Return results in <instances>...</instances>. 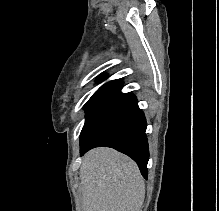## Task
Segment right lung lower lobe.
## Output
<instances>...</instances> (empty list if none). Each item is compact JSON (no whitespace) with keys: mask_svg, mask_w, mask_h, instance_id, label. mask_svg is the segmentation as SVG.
<instances>
[{"mask_svg":"<svg viewBox=\"0 0 219 211\" xmlns=\"http://www.w3.org/2000/svg\"><path fill=\"white\" fill-rule=\"evenodd\" d=\"M122 83L109 92L80 137V155L107 146L131 157L147 178L149 159L146 119L132 93H121Z\"/></svg>","mask_w":219,"mask_h":211,"instance_id":"right-lung-lower-lobe-1","label":"right lung lower lobe"}]
</instances>
